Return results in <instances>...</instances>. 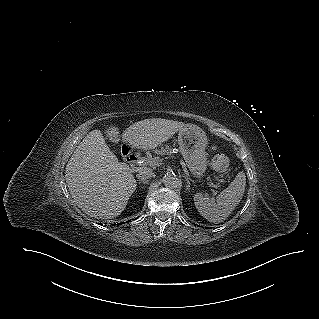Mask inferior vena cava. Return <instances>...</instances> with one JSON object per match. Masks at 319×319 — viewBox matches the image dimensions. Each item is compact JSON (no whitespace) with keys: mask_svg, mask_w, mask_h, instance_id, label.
I'll use <instances>...</instances> for the list:
<instances>
[{"mask_svg":"<svg viewBox=\"0 0 319 319\" xmlns=\"http://www.w3.org/2000/svg\"><path fill=\"white\" fill-rule=\"evenodd\" d=\"M155 174L151 169H142L138 171V174L136 175L137 178L139 179H148L151 177H154Z\"/></svg>","mask_w":319,"mask_h":319,"instance_id":"602c4592","label":"inferior vena cava"}]
</instances>
